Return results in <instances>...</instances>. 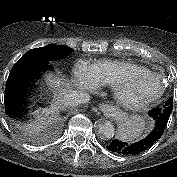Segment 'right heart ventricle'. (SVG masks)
Here are the masks:
<instances>
[{
	"label": "right heart ventricle",
	"instance_id": "1",
	"mask_svg": "<svg viewBox=\"0 0 177 177\" xmlns=\"http://www.w3.org/2000/svg\"><path fill=\"white\" fill-rule=\"evenodd\" d=\"M94 68L98 72L101 82L110 87H113L117 80L125 74L149 71L137 63L120 60L99 61L94 64Z\"/></svg>",
	"mask_w": 177,
	"mask_h": 177
}]
</instances>
